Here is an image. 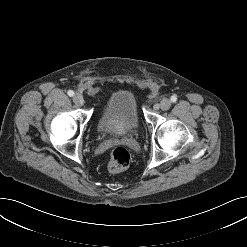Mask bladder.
Masks as SVG:
<instances>
[{
    "instance_id": "obj_1",
    "label": "bladder",
    "mask_w": 247,
    "mask_h": 247,
    "mask_svg": "<svg viewBox=\"0 0 247 247\" xmlns=\"http://www.w3.org/2000/svg\"><path fill=\"white\" fill-rule=\"evenodd\" d=\"M139 126L135 96L127 90L111 95L98 121V129L105 136L126 135Z\"/></svg>"
}]
</instances>
